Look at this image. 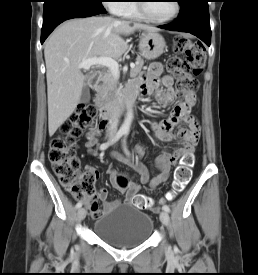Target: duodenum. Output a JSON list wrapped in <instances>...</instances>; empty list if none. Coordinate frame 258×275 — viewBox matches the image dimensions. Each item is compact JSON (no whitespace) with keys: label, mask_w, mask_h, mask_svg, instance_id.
<instances>
[{"label":"duodenum","mask_w":258,"mask_h":275,"mask_svg":"<svg viewBox=\"0 0 258 275\" xmlns=\"http://www.w3.org/2000/svg\"><path fill=\"white\" fill-rule=\"evenodd\" d=\"M100 79V74L98 72L94 73L89 78V85L91 88H96ZM139 93L138 89L127 88L124 94L118 95L116 98L111 100V102L101 108V117L103 123L108 124L110 120L116 117L122 108L128 106L133 102Z\"/></svg>","instance_id":"1"}]
</instances>
